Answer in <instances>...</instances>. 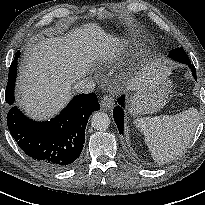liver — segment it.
Wrapping results in <instances>:
<instances>
[{"instance_id": "liver-1", "label": "liver", "mask_w": 205, "mask_h": 205, "mask_svg": "<svg viewBox=\"0 0 205 205\" xmlns=\"http://www.w3.org/2000/svg\"><path fill=\"white\" fill-rule=\"evenodd\" d=\"M118 45L119 41L97 24L32 44L19 66L18 106L35 120L53 117L70 100L73 83L90 73L97 60L115 57ZM166 75V68L154 62L138 72L127 87L134 91L148 90Z\"/></svg>"}]
</instances>
